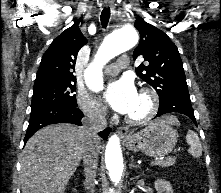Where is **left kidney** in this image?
<instances>
[{"label": "left kidney", "instance_id": "obj_1", "mask_svg": "<svg viewBox=\"0 0 221 193\" xmlns=\"http://www.w3.org/2000/svg\"><path fill=\"white\" fill-rule=\"evenodd\" d=\"M155 189L157 190V193H173L170 182L161 179H158L155 182Z\"/></svg>", "mask_w": 221, "mask_h": 193}]
</instances>
